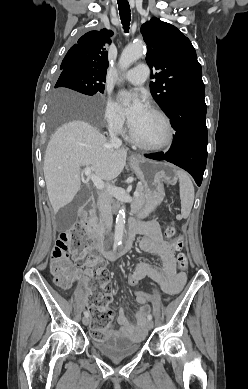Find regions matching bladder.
Masks as SVG:
<instances>
[{"label":"bladder","mask_w":248,"mask_h":389,"mask_svg":"<svg viewBox=\"0 0 248 389\" xmlns=\"http://www.w3.org/2000/svg\"><path fill=\"white\" fill-rule=\"evenodd\" d=\"M91 343L97 352L111 359H122L133 356L142 348L141 344L135 343L131 339L120 335H104L102 338L94 335Z\"/></svg>","instance_id":"1"}]
</instances>
